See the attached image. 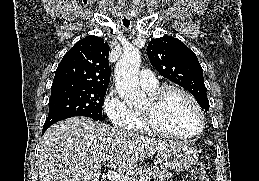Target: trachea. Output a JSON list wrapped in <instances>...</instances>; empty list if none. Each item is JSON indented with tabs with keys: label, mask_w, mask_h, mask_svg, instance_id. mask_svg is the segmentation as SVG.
Wrapping results in <instances>:
<instances>
[{
	"label": "trachea",
	"mask_w": 259,
	"mask_h": 181,
	"mask_svg": "<svg viewBox=\"0 0 259 181\" xmlns=\"http://www.w3.org/2000/svg\"><path fill=\"white\" fill-rule=\"evenodd\" d=\"M123 24H124V26H125L126 28H128L130 23H128V22H123Z\"/></svg>",
	"instance_id": "obj_1"
}]
</instances>
